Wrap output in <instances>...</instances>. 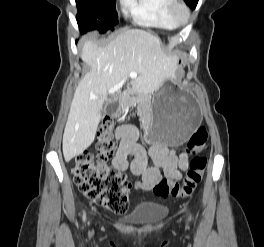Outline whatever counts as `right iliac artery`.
Returning <instances> with one entry per match:
<instances>
[{"mask_svg":"<svg viewBox=\"0 0 264 247\" xmlns=\"http://www.w3.org/2000/svg\"><path fill=\"white\" fill-rule=\"evenodd\" d=\"M83 219L85 220V214L83 215Z\"/></svg>","mask_w":264,"mask_h":247,"instance_id":"right-iliac-artery-1","label":"right iliac artery"}]
</instances>
